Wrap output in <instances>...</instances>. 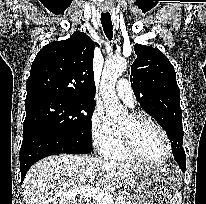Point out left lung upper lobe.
Returning <instances> with one entry per match:
<instances>
[{
  "mask_svg": "<svg viewBox=\"0 0 206 204\" xmlns=\"http://www.w3.org/2000/svg\"><path fill=\"white\" fill-rule=\"evenodd\" d=\"M137 58L130 81L136 99L166 131L172 147L183 149L182 111L176 73L168 58L158 49L136 44Z\"/></svg>",
  "mask_w": 206,
  "mask_h": 204,
  "instance_id": "1",
  "label": "left lung upper lobe"
}]
</instances>
